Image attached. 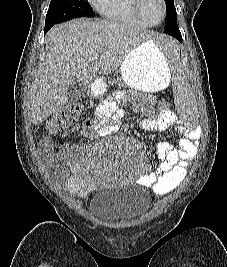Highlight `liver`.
Masks as SVG:
<instances>
[{
  "mask_svg": "<svg viewBox=\"0 0 227 267\" xmlns=\"http://www.w3.org/2000/svg\"><path fill=\"white\" fill-rule=\"evenodd\" d=\"M152 36L134 25L86 18L54 26L46 36V56L30 92L31 122L39 125L60 111L73 82L90 86L98 74H111Z\"/></svg>",
  "mask_w": 227,
  "mask_h": 267,
  "instance_id": "obj_1",
  "label": "liver"
}]
</instances>
